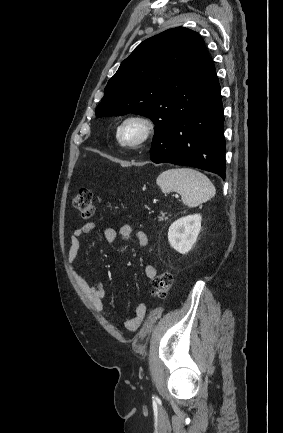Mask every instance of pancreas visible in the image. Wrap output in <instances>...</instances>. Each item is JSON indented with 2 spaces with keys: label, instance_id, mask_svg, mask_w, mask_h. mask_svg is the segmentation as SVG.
Wrapping results in <instances>:
<instances>
[{
  "label": "pancreas",
  "instance_id": "1",
  "mask_svg": "<svg viewBox=\"0 0 283 433\" xmlns=\"http://www.w3.org/2000/svg\"><path fill=\"white\" fill-rule=\"evenodd\" d=\"M161 214H162V217H165L166 212H161ZM166 219H167V217H166Z\"/></svg>",
  "mask_w": 283,
  "mask_h": 433
}]
</instances>
